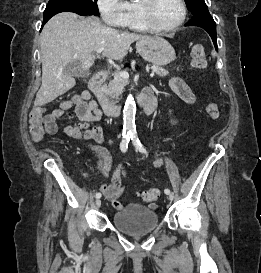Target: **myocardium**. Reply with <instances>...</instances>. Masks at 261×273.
Masks as SVG:
<instances>
[{
    "instance_id": "1",
    "label": "myocardium",
    "mask_w": 261,
    "mask_h": 273,
    "mask_svg": "<svg viewBox=\"0 0 261 273\" xmlns=\"http://www.w3.org/2000/svg\"><path fill=\"white\" fill-rule=\"evenodd\" d=\"M156 2L157 0H140L139 2V9L142 15V19L149 30L158 33H168L175 31L183 25L187 17V7L184 0H178L181 7V17L179 21L173 26L166 28L158 26L154 21L153 10Z\"/></svg>"
}]
</instances>
